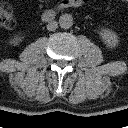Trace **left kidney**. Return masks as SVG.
Listing matches in <instances>:
<instances>
[{
  "instance_id": "left-kidney-1",
  "label": "left kidney",
  "mask_w": 128,
  "mask_h": 128,
  "mask_svg": "<svg viewBox=\"0 0 128 128\" xmlns=\"http://www.w3.org/2000/svg\"><path fill=\"white\" fill-rule=\"evenodd\" d=\"M100 36L103 42L110 48H115L118 45L119 38L111 29H103L100 31Z\"/></svg>"
}]
</instances>
